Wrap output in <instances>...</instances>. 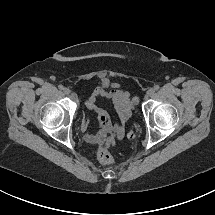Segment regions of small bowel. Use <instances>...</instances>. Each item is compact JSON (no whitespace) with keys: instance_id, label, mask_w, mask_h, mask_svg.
<instances>
[{"instance_id":"1","label":"small bowel","mask_w":215,"mask_h":215,"mask_svg":"<svg viewBox=\"0 0 215 215\" xmlns=\"http://www.w3.org/2000/svg\"><path fill=\"white\" fill-rule=\"evenodd\" d=\"M99 98L111 101L120 116V124L110 136H107L106 134L108 114L105 109L98 105L97 101ZM85 104L87 108L93 111L97 116V131L93 133L88 132L91 124L89 119L82 121L80 130L84 133L86 143L90 145H100L110 143L113 139L123 136L125 125L131 116L132 110L137 104V98L131 97L128 92L124 91L117 84H112L110 88L102 85L94 90L93 94L89 97Z\"/></svg>"}]
</instances>
